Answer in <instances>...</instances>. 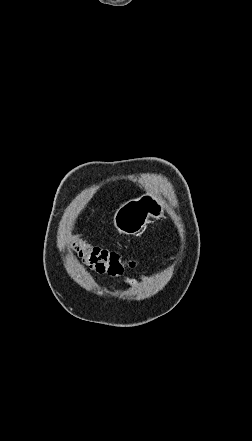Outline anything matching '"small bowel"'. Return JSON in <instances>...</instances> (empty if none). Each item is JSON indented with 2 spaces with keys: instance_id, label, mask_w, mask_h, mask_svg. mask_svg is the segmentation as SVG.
I'll use <instances>...</instances> for the list:
<instances>
[{
  "instance_id": "small-bowel-1",
  "label": "small bowel",
  "mask_w": 252,
  "mask_h": 441,
  "mask_svg": "<svg viewBox=\"0 0 252 441\" xmlns=\"http://www.w3.org/2000/svg\"><path fill=\"white\" fill-rule=\"evenodd\" d=\"M126 282H127L128 284H133V283H134V281L131 280V279H126Z\"/></svg>"
}]
</instances>
